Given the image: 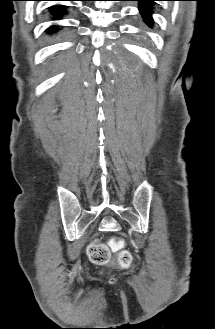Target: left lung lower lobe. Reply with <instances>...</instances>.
<instances>
[{
    "label": "left lung lower lobe",
    "mask_w": 215,
    "mask_h": 329,
    "mask_svg": "<svg viewBox=\"0 0 215 329\" xmlns=\"http://www.w3.org/2000/svg\"><path fill=\"white\" fill-rule=\"evenodd\" d=\"M139 1V9L140 13L144 19V21L148 24L151 25L152 18H151V7L154 4V1H159V0H136Z\"/></svg>",
    "instance_id": "left-lung-lower-lobe-1"
}]
</instances>
